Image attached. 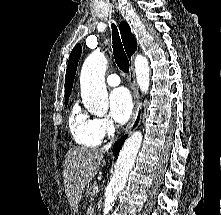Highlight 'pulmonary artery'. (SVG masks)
<instances>
[{
    "label": "pulmonary artery",
    "mask_w": 221,
    "mask_h": 215,
    "mask_svg": "<svg viewBox=\"0 0 221 215\" xmlns=\"http://www.w3.org/2000/svg\"><path fill=\"white\" fill-rule=\"evenodd\" d=\"M106 82L110 86H117L121 83V79L117 74H110L107 76Z\"/></svg>",
    "instance_id": "e3ab8cb5"
}]
</instances>
